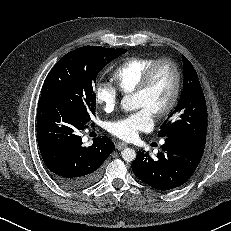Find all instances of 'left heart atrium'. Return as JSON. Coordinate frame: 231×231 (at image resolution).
Here are the masks:
<instances>
[{
    "instance_id": "left-heart-atrium-1",
    "label": "left heart atrium",
    "mask_w": 231,
    "mask_h": 231,
    "mask_svg": "<svg viewBox=\"0 0 231 231\" xmlns=\"http://www.w3.org/2000/svg\"><path fill=\"white\" fill-rule=\"evenodd\" d=\"M152 125V112L147 108H141L124 118L111 122L108 130L118 138L130 141L135 139L139 132L150 129Z\"/></svg>"
}]
</instances>
